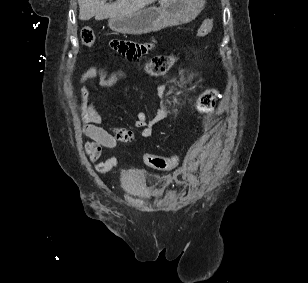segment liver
Instances as JSON below:
<instances>
[{
	"label": "liver",
	"instance_id": "6515ba94",
	"mask_svg": "<svg viewBox=\"0 0 308 283\" xmlns=\"http://www.w3.org/2000/svg\"><path fill=\"white\" fill-rule=\"evenodd\" d=\"M107 0H78L79 19L86 21L95 17L103 20L110 17L131 15L156 0H116L107 4Z\"/></svg>",
	"mask_w": 308,
	"mask_h": 283
}]
</instances>
